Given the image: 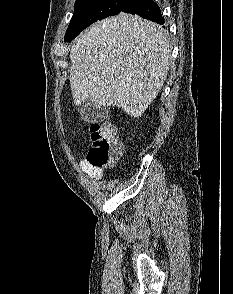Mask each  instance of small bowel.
<instances>
[{"mask_svg":"<svg viewBox=\"0 0 233 294\" xmlns=\"http://www.w3.org/2000/svg\"><path fill=\"white\" fill-rule=\"evenodd\" d=\"M82 167L86 170V172L91 175L93 178H99L101 175V170L92 167L89 163L85 160L81 162Z\"/></svg>","mask_w":233,"mask_h":294,"instance_id":"small-bowel-1","label":"small bowel"}]
</instances>
